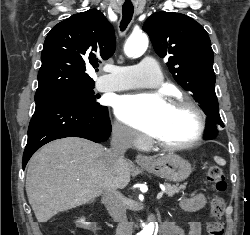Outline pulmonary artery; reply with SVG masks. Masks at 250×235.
Listing matches in <instances>:
<instances>
[{
    "mask_svg": "<svg viewBox=\"0 0 250 235\" xmlns=\"http://www.w3.org/2000/svg\"><path fill=\"white\" fill-rule=\"evenodd\" d=\"M109 72L98 81V88L101 91L156 87L162 81L158 62L149 57L144 58L137 65L110 67Z\"/></svg>",
    "mask_w": 250,
    "mask_h": 235,
    "instance_id": "1",
    "label": "pulmonary artery"
}]
</instances>
